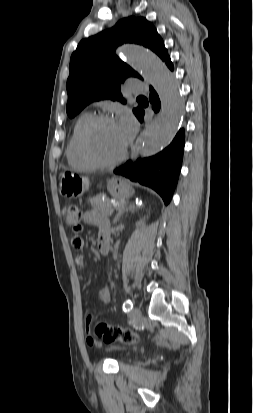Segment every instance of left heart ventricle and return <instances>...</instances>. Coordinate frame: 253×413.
Masks as SVG:
<instances>
[{
	"instance_id": "left-heart-ventricle-1",
	"label": "left heart ventricle",
	"mask_w": 253,
	"mask_h": 413,
	"mask_svg": "<svg viewBox=\"0 0 253 413\" xmlns=\"http://www.w3.org/2000/svg\"><path fill=\"white\" fill-rule=\"evenodd\" d=\"M125 145L116 122L100 123L90 134L91 149L98 158L103 160H112L119 156Z\"/></svg>"
}]
</instances>
